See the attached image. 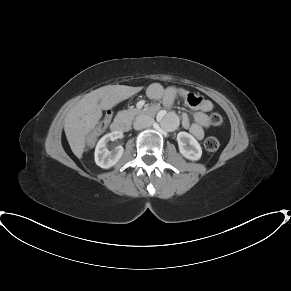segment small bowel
<instances>
[{"instance_id": "small-bowel-1", "label": "small bowel", "mask_w": 291, "mask_h": 291, "mask_svg": "<svg viewBox=\"0 0 291 291\" xmlns=\"http://www.w3.org/2000/svg\"><path fill=\"white\" fill-rule=\"evenodd\" d=\"M151 100L163 101L164 105L171 107L176 98H182L185 103L194 109V122L191 123L187 115H182L181 125L197 139H202L205 130L209 127L208 112L213 109V103L204 97L197 96L188 89L179 86L164 88L159 83L151 84L147 89Z\"/></svg>"}]
</instances>
